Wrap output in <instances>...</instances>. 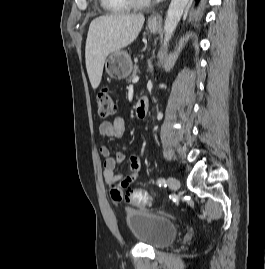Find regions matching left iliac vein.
I'll return each mask as SVG.
<instances>
[{"instance_id":"1","label":"left iliac vein","mask_w":265,"mask_h":269,"mask_svg":"<svg viewBox=\"0 0 265 269\" xmlns=\"http://www.w3.org/2000/svg\"><path fill=\"white\" fill-rule=\"evenodd\" d=\"M168 185L172 190H178L180 187V182L178 179H176L175 177H169L168 178Z\"/></svg>"}]
</instances>
